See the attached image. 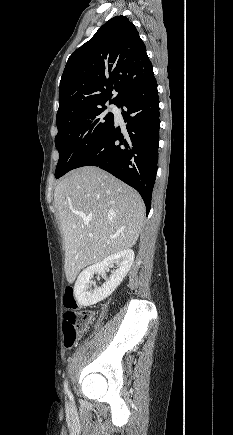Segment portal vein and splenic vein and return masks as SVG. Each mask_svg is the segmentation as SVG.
<instances>
[{"label":"portal vein and splenic vein","instance_id":"portal-vein-and-splenic-vein-1","mask_svg":"<svg viewBox=\"0 0 233 435\" xmlns=\"http://www.w3.org/2000/svg\"><path fill=\"white\" fill-rule=\"evenodd\" d=\"M84 224H85V225H88V221H85Z\"/></svg>","mask_w":233,"mask_h":435}]
</instances>
